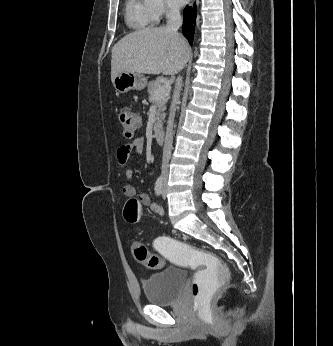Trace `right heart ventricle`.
<instances>
[{"instance_id": "right-heart-ventricle-1", "label": "right heart ventricle", "mask_w": 333, "mask_h": 346, "mask_svg": "<svg viewBox=\"0 0 333 346\" xmlns=\"http://www.w3.org/2000/svg\"><path fill=\"white\" fill-rule=\"evenodd\" d=\"M125 18L128 26L134 29H143L154 23L147 11L145 0H127Z\"/></svg>"}]
</instances>
